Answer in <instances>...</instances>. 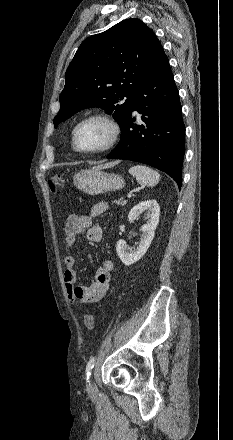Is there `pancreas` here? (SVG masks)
<instances>
[{
  "instance_id": "obj_1",
  "label": "pancreas",
  "mask_w": 233,
  "mask_h": 440,
  "mask_svg": "<svg viewBox=\"0 0 233 440\" xmlns=\"http://www.w3.org/2000/svg\"><path fill=\"white\" fill-rule=\"evenodd\" d=\"M115 203L117 205L124 206V205H126L127 202L125 200L119 199V200L115 201Z\"/></svg>"
}]
</instances>
